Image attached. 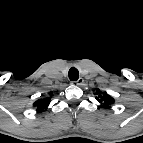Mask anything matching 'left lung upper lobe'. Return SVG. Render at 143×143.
<instances>
[{"label": "left lung upper lobe", "mask_w": 143, "mask_h": 143, "mask_svg": "<svg viewBox=\"0 0 143 143\" xmlns=\"http://www.w3.org/2000/svg\"><path fill=\"white\" fill-rule=\"evenodd\" d=\"M96 91L98 93V96L96 97V99L101 104V107L108 108L114 103V99L110 95H108L105 92L100 93L99 89H97Z\"/></svg>", "instance_id": "5c2ea615"}]
</instances>
